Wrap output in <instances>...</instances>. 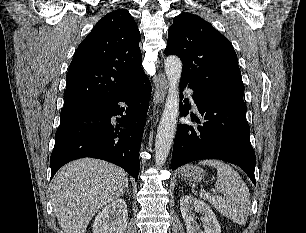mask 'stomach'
Returning a JSON list of instances; mask_svg holds the SVG:
<instances>
[{"instance_id": "obj_1", "label": "stomach", "mask_w": 306, "mask_h": 233, "mask_svg": "<svg viewBox=\"0 0 306 233\" xmlns=\"http://www.w3.org/2000/svg\"><path fill=\"white\" fill-rule=\"evenodd\" d=\"M179 175L190 182H199L204 178V171L198 166L189 164L181 168Z\"/></svg>"}]
</instances>
